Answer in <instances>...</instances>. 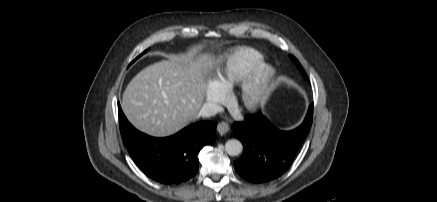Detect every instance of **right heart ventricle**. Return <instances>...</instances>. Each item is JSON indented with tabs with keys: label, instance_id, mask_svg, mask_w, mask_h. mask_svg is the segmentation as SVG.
<instances>
[{
	"label": "right heart ventricle",
	"instance_id": "e07e8e85",
	"mask_svg": "<svg viewBox=\"0 0 437 202\" xmlns=\"http://www.w3.org/2000/svg\"><path fill=\"white\" fill-rule=\"evenodd\" d=\"M263 62V55L257 50L242 47L234 50L216 77V84L228 91L241 83L258 65Z\"/></svg>",
	"mask_w": 437,
	"mask_h": 202
}]
</instances>
